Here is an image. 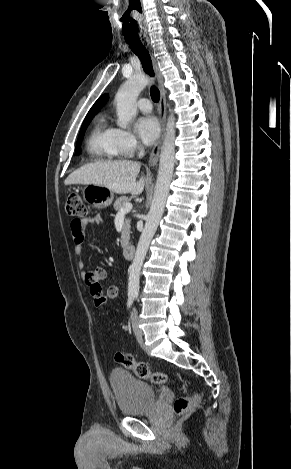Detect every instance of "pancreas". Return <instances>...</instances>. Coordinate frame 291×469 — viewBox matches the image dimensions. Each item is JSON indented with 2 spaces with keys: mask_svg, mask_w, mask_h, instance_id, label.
Masks as SVG:
<instances>
[{
  "mask_svg": "<svg viewBox=\"0 0 291 469\" xmlns=\"http://www.w3.org/2000/svg\"><path fill=\"white\" fill-rule=\"evenodd\" d=\"M130 199L126 196H122L118 198L114 203V209L119 211L125 204L129 203ZM130 238V220L126 219L123 228H122V236H121V244L125 246Z\"/></svg>",
  "mask_w": 291,
  "mask_h": 469,
  "instance_id": "1",
  "label": "pancreas"
}]
</instances>
